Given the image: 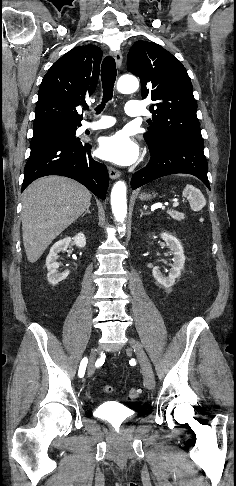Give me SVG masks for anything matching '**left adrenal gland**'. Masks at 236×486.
I'll return each instance as SVG.
<instances>
[{
    "label": "left adrenal gland",
    "mask_w": 236,
    "mask_h": 486,
    "mask_svg": "<svg viewBox=\"0 0 236 486\" xmlns=\"http://www.w3.org/2000/svg\"><path fill=\"white\" fill-rule=\"evenodd\" d=\"M140 212H141L140 217H142L143 215H147L148 214V212L143 211V209H141Z\"/></svg>",
    "instance_id": "a2214340"
}]
</instances>
